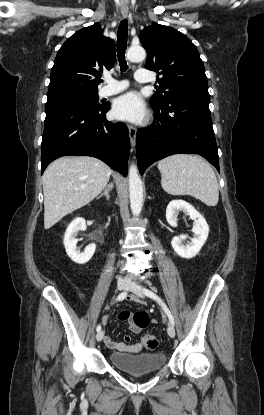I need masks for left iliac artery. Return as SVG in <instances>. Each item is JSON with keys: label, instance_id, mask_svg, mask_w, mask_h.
Segmentation results:
<instances>
[{"label": "left iliac artery", "instance_id": "obj_1", "mask_svg": "<svg viewBox=\"0 0 264 415\" xmlns=\"http://www.w3.org/2000/svg\"><path fill=\"white\" fill-rule=\"evenodd\" d=\"M144 293H145L146 296H148V297L152 298L153 300H155L162 307V309L164 310V312L168 316L170 323L174 326L175 322H174L173 315L171 314L170 310L168 309V307L164 303V301L157 294H155L153 291H151L149 289H144Z\"/></svg>", "mask_w": 264, "mask_h": 415}]
</instances>
